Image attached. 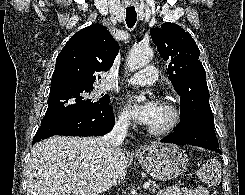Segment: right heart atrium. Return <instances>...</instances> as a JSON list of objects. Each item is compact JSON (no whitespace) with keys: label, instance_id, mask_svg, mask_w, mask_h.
<instances>
[{"label":"right heart atrium","instance_id":"1","mask_svg":"<svg viewBox=\"0 0 245 195\" xmlns=\"http://www.w3.org/2000/svg\"><path fill=\"white\" fill-rule=\"evenodd\" d=\"M131 121V117L127 110L120 108L116 115V123L121 127H126Z\"/></svg>","mask_w":245,"mask_h":195}]
</instances>
